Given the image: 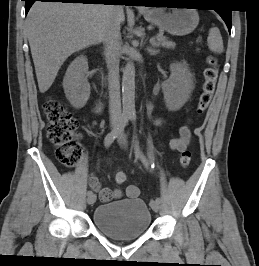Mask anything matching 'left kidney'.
<instances>
[{"instance_id":"left-kidney-1","label":"left kidney","mask_w":259,"mask_h":266,"mask_svg":"<svg viewBox=\"0 0 259 266\" xmlns=\"http://www.w3.org/2000/svg\"><path fill=\"white\" fill-rule=\"evenodd\" d=\"M171 75L162 84L164 100L170 111H177L190 98L194 89L192 74L183 63H173L170 65Z\"/></svg>"}]
</instances>
